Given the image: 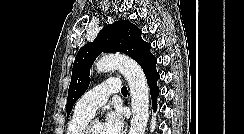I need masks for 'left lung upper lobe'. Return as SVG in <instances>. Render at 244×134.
Here are the masks:
<instances>
[{
	"mask_svg": "<svg viewBox=\"0 0 244 134\" xmlns=\"http://www.w3.org/2000/svg\"><path fill=\"white\" fill-rule=\"evenodd\" d=\"M150 43L141 38V30L130 21L118 20L105 26L93 42L84 45L73 63L66 111L69 115L75 102L87 90L90 68L102 52H122L133 58L145 72L156 71L157 58L150 53Z\"/></svg>",
	"mask_w": 244,
	"mask_h": 134,
	"instance_id": "obj_1",
	"label": "left lung upper lobe"
}]
</instances>
